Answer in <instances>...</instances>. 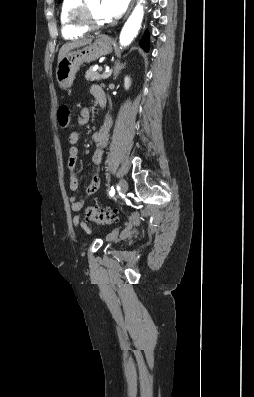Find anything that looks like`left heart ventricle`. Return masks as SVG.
I'll return each mask as SVG.
<instances>
[{"mask_svg":"<svg viewBox=\"0 0 254 397\" xmlns=\"http://www.w3.org/2000/svg\"><path fill=\"white\" fill-rule=\"evenodd\" d=\"M89 10L93 18L98 22H105L106 19L100 11V0H88L87 2Z\"/></svg>","mask_w":254,"mask_h":397,"instance_id":"left-heart-ventricle-1","label":"left heart ventricle"}]
</instances>
